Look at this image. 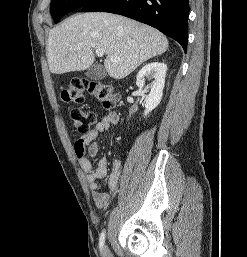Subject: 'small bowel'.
Here are the masks:
<instances>
[{"instance_id":"c3829d8e","label":"small bowel","mask_w":247,"mask_h":257,"mask_svg":"<svg viewBox=\"0 0 247 257\" xmlns=\"http://www.w3.org/2000/svg\"><path fill=\"white\" fill-rule=\"evenodd\" d=\"M118 122V114L109 113L96 124L94 129L82 135L74 144V151L78 163L86 173V179L89 183L93 200L99 208H105L110 202V194L103 191L102 185L99 182V180L104 179L107 176V160L105 157L99 158L97 168H93L89 157L95 158L98 155L99 144L95 141L98 135L109 130L112 126L117 125ZM120 176L121 161L117 156H115L108 179V187L110 191L115 190Z\"/></svg>"}]
</instances>
